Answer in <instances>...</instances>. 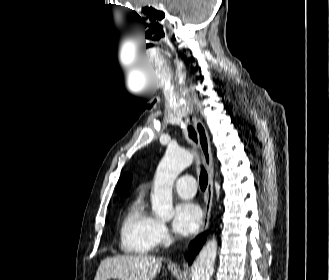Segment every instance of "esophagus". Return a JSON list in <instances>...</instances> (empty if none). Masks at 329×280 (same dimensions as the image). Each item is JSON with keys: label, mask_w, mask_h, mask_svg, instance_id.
Instances as JSON below:
<instances>
[{"label": "esophagus", "mask_w": 329, "mask_h": 280, "mask_svg": "<svg viewBox=\"0 0 329 280\" xmlns=\"http://www.w3.org/2000/svg\"><path fill=\"white\" fill-rule=\"evenodd\" d=\"M192 121L198 135L199 145L203 154L204 165L208 173V185L205 193V208L203 221L200 229V232H203L207 229L211 216V207L213 199V157L210 139L205 125L203 124L202 120L197 118L196 116L192 117Z\"/></svg>", "instance_id": "1"}]
</instances>
